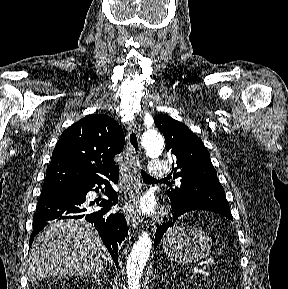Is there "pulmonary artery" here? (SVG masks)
I'll use <instances>...</instances> for the list:
<instances>
[{
  "label": "pulmonary artery",
  "mask_w": 288,
  "mask_h": 289,
  "mask_svg": "<svg viewBox=\"0 0 288 289\" xmlns=\"http://www.w3.org/2000/svg\"><path fill=\"white\" fill-rule=\"evenodd\" d=\"M148 174L153 178H164L167 176V164L162 160H152L148 164Z\"/></svg>",
  "instance_id": "e3ab8cb5"
}]
</instances>
